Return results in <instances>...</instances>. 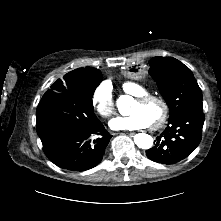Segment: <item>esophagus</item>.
<instances>
[{
    "label": "esophagus",
    "mask_w": 221,
    "mask_h": 221,
    "mask_svg": "<svg viewBox=\"0 0 221 221\" xmlns=\"http://www.w3.org/2000/svg\"><path fill=\"white\" fill-rule=\"evenodd\" d=\"M117 134H119V133H116V132H114V133H112V135H117ZM129 135H134V133H129Z\"/></svg>",
    "instance_id": "1"
}]
</instances>
